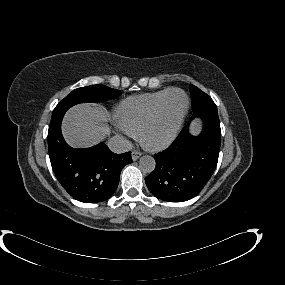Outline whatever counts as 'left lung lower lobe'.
Returning a JSON list of instances; mask_svg holds the SVG:
<instances>
[{
	"label": "left lung lower lobe",
	"mask_w": 285,
	"mask_h": 285,
	"mask_svg": "<svg viewBox=\"0 0 285 285\" xmlns=\"http://www.w3.org/2000/svg\"><path fill=\"white\" fill-rule=\"evenodd\" d=\"M195 117L204 121L199 136H192L186 126L166 150L155 154L156 167L145 182L158 199L168 202L192 199L216 169L221 143L216 105L198 109L191 120Z\"/></svg>",
	"instance_id": "obj_1"
}]
</instances>
